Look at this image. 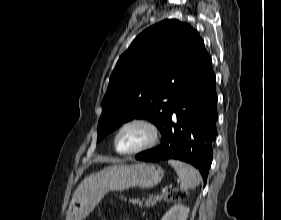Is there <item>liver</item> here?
I'll list each match as a JSON object with an SVG mask.
<instances>
[{"label": "liver", "instance_id": "1", "mask_svg": "<svg viewBox=\"0 0 281 220\" xmlns=\"http://www.w3.org/2000/svg\"><path fill=\"white\" fill-rule=\"evenodd\" d=\"M108 161H111V160H108ZM113 163H118L119 161L118 160H112Z\"/></svg>", "mask_w": 281, "mask_h": 220}]
</instances>
